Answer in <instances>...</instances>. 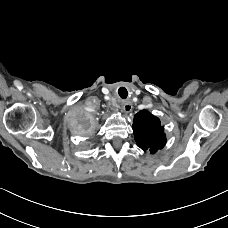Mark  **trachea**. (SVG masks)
Wrapping results in <instances>:
<instances>
[{
    "label": "trachea",
    "instance_id": "1",
    "mask_svg": "<svg viewBox=\"0 0 228 228\" xmlns=\"http://www.w3.org/2000/svg\"><path fill=\"white\" fill-rule=\"evenodd\" d=\"M118 94H119V96H120L122 99H125V98H127V96H128V91H127V89H126L125 87H120V88L118 89Z\"/></svg>",
    "mask_w": 228,
    "mask_h": 228
}]
</instances>
